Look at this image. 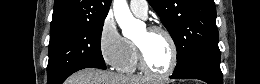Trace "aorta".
I'll return each instance as SVG.
<instances>
[{"label": "aorta", "mask_w": 260, "mask_h": 84, "mask_svg": "<svg viewBox=\"0 0 260 84\" xmlns=\"http://www.w3.org/2000/svg\"><path fill=\"white\" fill-rule=\"evenodd\" d=\"M113 11L115 19L125 37L131 38L141 26V22L134 18L126 0H114Z\"/></svg>", "instance_id": "aorta-1"}]
</instances>
